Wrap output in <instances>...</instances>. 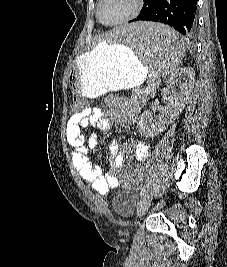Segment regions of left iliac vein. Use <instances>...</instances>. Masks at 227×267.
Returning a JSON list of instances; mask_svg holds the SVG:
<instances>
[{"instance_id": "1", "label": "left iliac vein", "mask_w": 227, "mask_h": 267, "mask_svg": "<svg viewBox=\"0 0 227 267\" xmlns=\"http://www.w3.org/2000/svg\"><path fill=\"white\" fill-rule=\"evenodd\" d=\"M151 199H152V195H150L149 193H147L140 205L137 208V217H141L149 208L150 204H151Z\"/></svg>"}]
</instances>
